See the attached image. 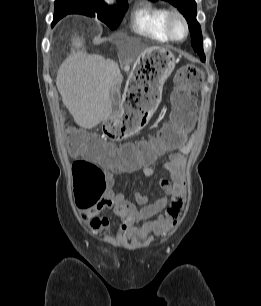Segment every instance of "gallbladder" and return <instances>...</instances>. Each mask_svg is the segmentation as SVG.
<instances>
[{
    "label": "gallbladder",
    "instance_id": "gallbladder-1",
    "mask_svg": "<svg viewBox=\"0 0 261 306\" xmlns=\"http://www.w3.org/2000/svg\"><path fill=\"white\" fill-rule=\"evenodd\" d=\"M121 100L120 92L117 88L111 90V101L112 105H117Z\"/></svg>",
    "mask_w": 261,
    "mask_h": 306
}]
</instances>
